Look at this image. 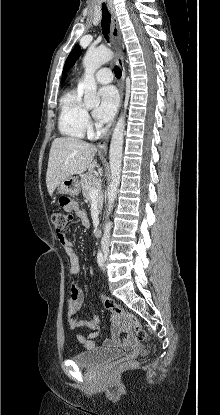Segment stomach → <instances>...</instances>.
Returning a JSON list of instances; mask_svg holds the SVG:
<instances>
[{"label": "stomach", "mask_w": 220, "mask_h": 415, "mask_svg": "<svg viewBox=\"0 0 220 415\" xmlns=\"http://www.w3.org/2000/svg\"><path fill=\"white\" fill-rule=\"evenodd\" d=\"M80 189V181L75 176L68 177L57 186L58 193L69 196H77L80 193Z\"/></svg>", "instance_id": "stomach-1"}]
</instances>
